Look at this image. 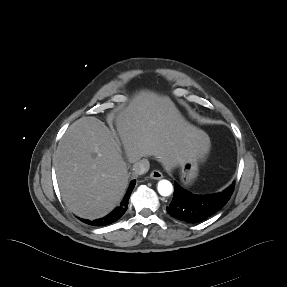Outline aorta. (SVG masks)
Returning a JSON list of instances; mask_svg holds the SVG:
<instances>
[{"label":"aorta","instance_id":"aorta-1","mask_svg":"<svg viewBox=\"0 0 287 287\" xmlns=\"http://www.w3.org/2000/svg\"><path fill=\"white\" fill-rule=\"evenodd\" d=\"M157 190L161 196H170L173 192L172 183L168 180H160L158 182Z\"/></svg>","mask_w":287,"mask_h":287}]
</instances>
